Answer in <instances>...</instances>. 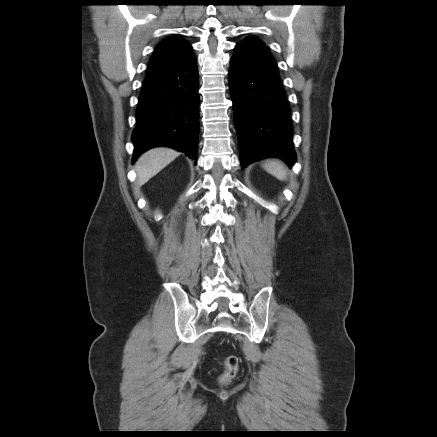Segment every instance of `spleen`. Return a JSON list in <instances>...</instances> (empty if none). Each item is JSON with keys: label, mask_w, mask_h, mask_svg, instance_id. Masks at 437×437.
Segmentation results:
<instances>
[{"label": "spleen", "mask_w": 437, "mask_h": 437, "mask_svg": "<svg viewBox=\"0 0 437 437\" xmlns=\"http://www.w3.org/2000/svg\"><path fill=\"white\" fill-rule=\"evenodd\" d=\"M263 168L281 181L287 179V168L279 160H268L263 164Z\"/></svg>", "instance_id": "spleen-1"}]
</instances>
